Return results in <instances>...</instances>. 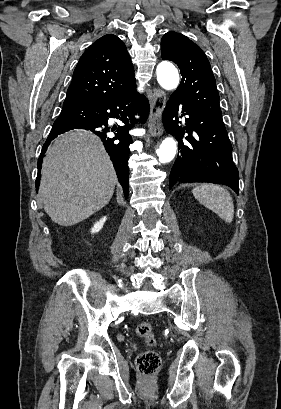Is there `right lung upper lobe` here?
Wrapping results in <instances>:
<instances>
[{
  "label": "right lung upper lobe",
  "mask_w": 281,
  "mask_h": 409,
  "mask_svg": "<svg viewBox=\"0 0 281 409\" xmlns=\"http://www.w3.org/2000/svg\"><path fill=\"white\" fill-rule=\"evenodd\" d=\"M136 87L134 69L121 39L107 34L81 56L63 105L92 104Z\"/></svg>",
  "instance_id": "cb5924a9"
}]
</instances>
